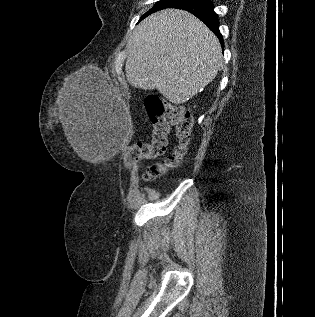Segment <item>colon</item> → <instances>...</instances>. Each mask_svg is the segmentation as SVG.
Returning a JSON list of instances; mask_svg holds the SVG:
<instances>
[{"label":"colon","instance_id":"5ec220e1","mask_svg":"<svg viewBox=\"0 0 315 317\" xmlns=\"http://www.w3.org/2000/svg\"><path fill=\"white\" fill-rule=\"evenodd\" d=\"M145 108L152 125L150 142H138L128 146L125 162L137 164L144 159H151L164 154L167 137L174 128L177 145L174 151L159 162L147 166L144 177L147 180L159 177L175 168L186 155L192 136V117L190 113L179 107H168L156 96L145 100Z\"/></svg>","mask_w":315,"mask_h":317}]
</instances>
